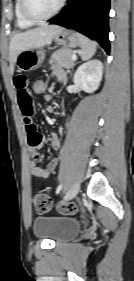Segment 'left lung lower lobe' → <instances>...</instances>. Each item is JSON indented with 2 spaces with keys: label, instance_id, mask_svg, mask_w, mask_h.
Wrapping results in <instances>:
<instances>
[{
  "label": "left lung lower lobe",
  "instance_id": "1",
  "mask_svg": "<svg viewBox=\"0 0 134 281\" xmlns=\"http://www.w3.org/2000/svg\"><path fill=\"white\" fill-rule=\"evenodd\" d=\"M109 10L110 0H69L64 10L48 21L93 37L109 53Z\"/></svg>",
  "mask_w": 134,
  "mask_h": 281
}]
</instances>
